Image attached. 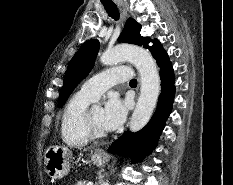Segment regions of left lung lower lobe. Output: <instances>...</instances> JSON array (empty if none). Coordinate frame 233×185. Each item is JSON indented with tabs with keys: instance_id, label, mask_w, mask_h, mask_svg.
Here are the masks:
<instances>
[{
	"instance_id": "1",
	"label": "left lung lower lobe",
	"mask_w": 233,
	"mask_h": 185,
	"mask_svg": "<svg viewBox=\"0 0 233 185\" xmlns=\"http://www.w3.org/2000/svg\"><path fill=\"white\" fill-rule=\"evenodd\" d=\"M160 67L162 93L159 96L157 109L149 123L136 133H124L112 143L108 151L128 156L132 162L142 161L157 145L165 122L172 110L175 94V76L167 53L157 42L150 50Z\"/></svg>"
}]
</instances>
